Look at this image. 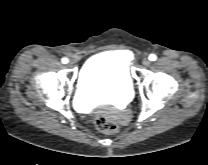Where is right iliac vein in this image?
I'll use <instances>...</instances> for the list:
<instances>
[{
  "label": "right iliac vein",
  "instance_id": "right-iliac-vein-1",
  "mask_svg": "<svg viewBox=\"0 0 208 165\" xmlns=\"http://www.w3.org/2000/svg\"><path fill=\"white\" fill-rule=\"evenodd\" d=\"M68 66L72 67L73 63L72 62H68Z\"/></svg>",
  "mask_w": 208,
  "mask_h": 165
}]
</instances>
